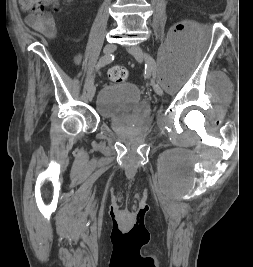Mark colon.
<instances>
[{"label":"colon","instance_id":"1","mask_svg":"<svg viewBox=\"0 0 253 267\" xmlns=\"http://www.w3.org/2000/svg\"><path fill=\"white\" fill-rule=\"evenodd\" d=\"M23 10L36 15L44 14L48 8L56 10L59 0H19ZM108 76L111 81L116 83L125 82L128 77V71L122 66H114L109 70Z\"/></svg>","mask_w":253,"mask_h":267}]
</instances>
